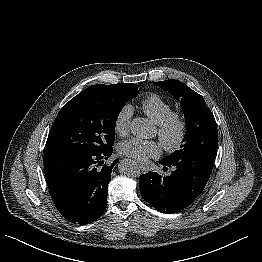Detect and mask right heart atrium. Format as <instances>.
Masks as SVG:
<instances>
[{
  "instance_id": "right-heart-atrium-1",
  "label": "right heart atrium",
  "mask_w": 262,
  "mask_h": 262,
  "mask_svg": "<svg viewBox=\"0 0 262 262\" xmlns=\"http://www.w3.org/2000/svg\"><path fill=\"white\" fill-rule=\"evenodd\" d=\"M133 109L130 105H124L117 113L114 120L115 132L120 136L129 133Z\"/></svg>"
}]
</instances>
